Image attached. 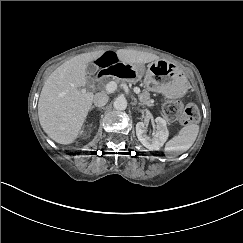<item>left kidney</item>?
Instances as JSON below:
<instances>
[{
	"mask_svg": "<svg viewBox=\"0 0 243 243\" xmlns=\"http://www.w3.org/2000/svg\"><path fill=\"white\" fill-rule=\"evenodd\" d=\"M155 126L157 128V133L150 138L146 135L145 123L138 122L136 124V135L144 147L149 150L158 151L167 141L169 131L166 126V121L160 117L155 119Z\"/></svg>",
	"mask_w": 243,
	"mask_h": 243,
	"instance_id": "obj_1",
	"label": "left kidney"
}]
</instances>
